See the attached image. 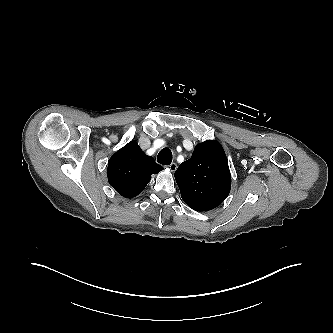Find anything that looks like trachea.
Segmentation results:
<instances>
[{
    "label": "trachea",
    "instance_id": "obj_1",
    "mask_svg": "<svg viewBox=\"0 0 333 333\" xmlns=\"http://www.w3.org/2000/svg\"><path fill=\"white\" fill-rule=\"evenodd\" d=\"M157 161L162 165H170L172 162V152L169 148H163L158 156Z\"/></svg>",
    "mask_w": 333,
    "mask_h": 333
}]
</instances>
